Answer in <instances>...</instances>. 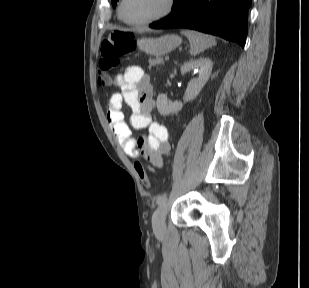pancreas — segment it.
I'll return each mask as SVG.
<instances>
[{
	"instance_id": "cf45deb5",
	"label": "pancreas",
	"mask_w": 309,
	"mask_h": 288,
	"mask_svg": "<svg viewBox=\"0 0 309 288\" xmlns=\"http://www.w3.org/2000/svg\"><path fill=\"white\" fill-rule=\"evenodd\" d=\"M164 61L161 57H156V58H150L149 59V64L150 66H158V65H161L163 64Z\"/></svg>"
}]
</instances>
